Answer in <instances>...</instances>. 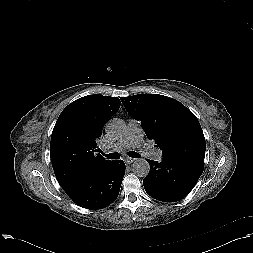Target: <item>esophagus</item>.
<instances>
[{
  "instance_id": "esophagus-1",
  "label": "esophagus",
  "mask_w": 253,
  "mask_h": 253,
  "mask_svg": "<svg viewBox=\"0 0 253 253\" xmlns=\"http://www.w3.org/2000/svg\"><path fill=\"white\" fill-rule=\"evenodd\" d=\"M134 161H135L134 158H126V159H125V163H126V164H129V165L132 164Z\"/></svg>"
}]
</instances>
